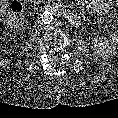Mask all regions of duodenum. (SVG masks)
I'll return each instance as SVG.
<instances>
[{"label":"duodenum","instance_id":"1","mask_svg":"<svg viewBox=\"0 0 118 118\" xmlns=\"http://www.w3.org/2000/svg\"><path fill=\"white\" fill-rule=\"evenodd\" d=\"M41 9L43 11L54 12L61 16L65 21L73 26L80 25V19L77 15H75L70 9L66 8L65 6L61 5L58 2H50L41 5Z\"/></svg>","mask_w":118,"mask_h":118}]
</instances>
